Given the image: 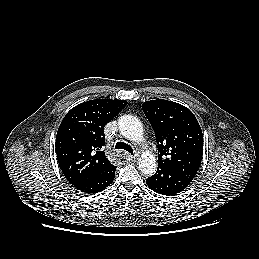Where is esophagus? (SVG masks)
<instances>
[{"instance_id":"obj_1","label":"esophagus","mask_w":259,"mask_h":259,"mask_svg":"<svg viewBox=\"0 0 259 259\" xmlns=\"http://www.w3.org/2000/svg\"><path fill=\"white\" fill-rule=\"evenodd\" d=\"M127 159L131 162H135L137 160V155H127Z\"/></svg>"}]
</instances>
